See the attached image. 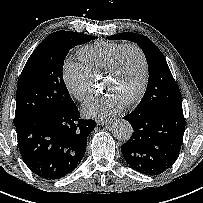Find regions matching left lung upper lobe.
Here are the masks:
<instances>
[{
    "mask_svg": "<svg viewBox=\"0 0 203 203\" xmlns=\"http://www.w3.org/2000/svg\"><path fill=\"white\" fill-rule=\"evenodd\" d=\"M108 39L135 42L145 54L149 68V80L145 94L135 108L136 110L150 112L166 108H182L180 90L165 57L148 37L124 32L109 36Z\"/></svg>",
    "mask_w": 203,
    "mask_h": 203,
    "instance_id": "1",
    "label": "left lung upper lobe"
}]
</instances>
